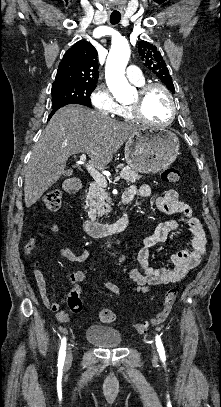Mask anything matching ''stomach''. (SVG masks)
<instances>
[{
	"label": "stomach",
	"instance_id": "obj_1",
	"mask_svg": "<svg viewBox=\"0 0 221 407\" xmlns=\"http://www.w3.org/2000/svg\"><path fill=\"white\" fill-rule=\"evenodd\" d=\"M179 153V139L165 129L140 128L125 143L129 167L143 174H155L169 167Z\"/></svg>",
	"mask_w": 221,
	"mask_h": 407
}]
</instances>
